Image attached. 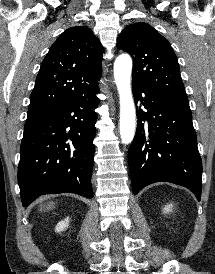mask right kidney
<instances>
[{"mask_svg": "<svg viewBox=\"0 0 215 274\" xmlns=\"http://www.w3.org/2000/svg\"><path fill=\"white\" fill-rule=\"evenodd\" d=\"M69 225V218H66L65 220L63 221H60L56 228H55V231L56 232H61V231H64Z\"/></svg>", "mask_w": 215, "mask_h": 274, "instance_id": "right-kidney-1", "label": "right kidney"}]
</instances>
